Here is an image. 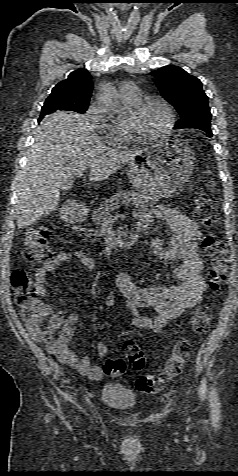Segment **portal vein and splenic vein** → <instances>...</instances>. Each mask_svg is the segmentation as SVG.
<instances>
[{"label": "portal vein and splenic vein", "mask_w": 238, "mask_h": 476, "mask_svg": "<svg viewBox=\"0 0 238 476\" xmlns=\"http://www.w3.org/2000/svg\"><path fill=\"white\" fill-rule=\"evenodd\" d=\"M76 176H77V177L83 176V172H81V171H80V172H77V173H76ZM104 220L112 221V220H114V217H113L111 214H107V215L105 216Z\"/></svg>", "instance_id": "obj_1"}]
</instances>
